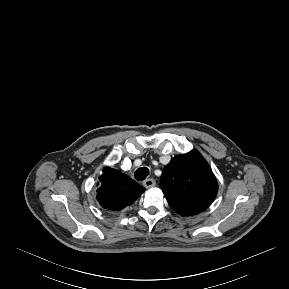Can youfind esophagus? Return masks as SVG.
I'll return each instance as SVG.
<instances>
[{"mask_svg":"<svg viewBox=\"0 0 289 289\" xmlns=\"http://www.w3.org/2000/svg\"><path fill=\"white\" fill-rule=\"evenodd\" d=\"M143 185L145 188H151V187L156 185V182L154 179L148 178V179L144 180Z\"/></svg>","mask_w":289,"mask_h":289,"instance_id":"esophagus-1","label":"esophagus"}]
</instances>
